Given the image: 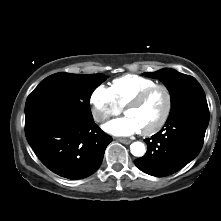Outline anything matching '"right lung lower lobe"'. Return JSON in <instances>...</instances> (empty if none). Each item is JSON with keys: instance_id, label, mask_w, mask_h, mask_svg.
<instances>
[{"instance_id": "98d812e1", "label": "right lung lower lobe", "mask_w": 221, "mask_h": 221, "mask_svg": "<svg viewBox=\"0 0 221 221\" xmlns=\"http://www.w3.org/2000/svg\"><path fill=\"white\" fill-rule=\"evenodd\" d=\"M25 135L48 169L72 180L93 174L112 141L94 120H80L54 106L40 107L25 114Z\"/></svg>"}]
</instances>
